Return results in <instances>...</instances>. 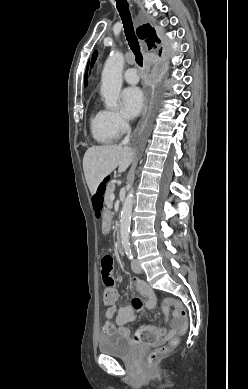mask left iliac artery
Masks as SVG:
<instances>
[{"mask_svg": "<svg viewBox=\"0 0 248 389\" xmlns=\"http://www.w3.org/2000/svg\"><path fill=\"white\" fill-rule=\"evenodd\" d=\"M125 253H126L127 257H128L130 260L133 259V254H132V251H131L130 246H126V248H125Z\"/></svg>", "mask_w": 248, "mask_h": 389, "instance_id": "1", "label": "left iliac artery"}]
</instances>
